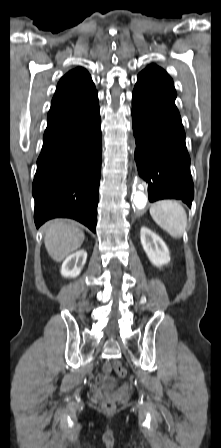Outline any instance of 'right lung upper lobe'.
<instances>
[{
	"mask_svg": "<svg viewBox=\"0 0 221 448\" xmlns=\"http://www.w3.org/2000/svg\"><path fill=\"white\" fill-rule=\"evenodd\" d=\"M97 91L90 74L78 67L69 71L59 81L51 102V118L93 96Z\"/></svg>",
	"mask_w": 221,
	"mask_h": 448,
	"instance_id": "1",
	"label": "right lung upper lobe"
}]
</instances>
